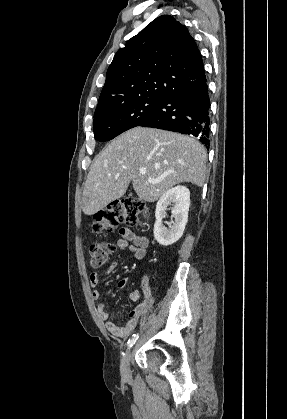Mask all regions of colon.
I'll list each match as a JSON object with an SVG mask.
<instances>
[{"label": "colon", "mask_w": 287, "mask_h": 419, "mask_svg": "<svg viewBox=\"0 0 287 419\" xmlns=\"http://www.w3.org/2000/svg\"><path fill=\"white\" fill-rule=\"evenodd\" d=\"M146 212L145 204L141 200L130 197L121 198L95 214L92 229L95 232H113L120 224L136 225L141 215ZM113 250L114 246L111 243L93 242L90 246L92 266L100 267L105 264Z\"/></svg>", "instance_id": "colon-1"}]
</instances>
